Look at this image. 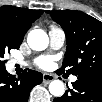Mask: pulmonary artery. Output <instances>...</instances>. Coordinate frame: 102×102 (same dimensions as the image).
Segmentation results:
<instances>
[{
	"mask_svg": "<svg viewBox=\"0 0 102 102\" xmlns=\"http://www.w3.org/2000/svg\"><path fill=\"white\" fill-rule=\"evenodd\" d=\"M49 40L53 49H60L65 43V34L61 29L51 27L49 31Z\"/></svg>",
	"mask_w": 102,
	"mask_h": 102,
	"instance_id": "1",
	"label": "pulmonary artery"
}]
</instances>
